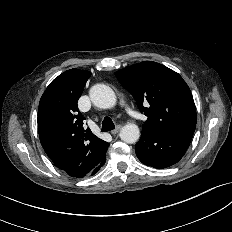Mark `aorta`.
<instances>
[{
    "label": "aorta",
    "mask_w": 232,
    "mask_h": 232,
    "mask_svg": "<svg viewBox=\"0 0 232 232\" xmlns=\"http://www.w3.org/2000/svg\"><path fill=\"white\" fill-rule=\"evenodd\" d=\"M92 103L103 109L112 108L116 104V95L114 91L105 84H96L92 86L89 92ZM140 130L134 123L124 125L120 131V138L128 144L138 141Z\"/></svg>",
    "instance_id": "obj_1"
}]
</instances>
